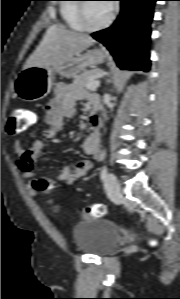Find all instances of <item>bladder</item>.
<instances>
[{"label":"bladder","instance_id":"31cf9c89","mask_svg":"<svg viewBox=\"0 0 180 299\" xmlns=\"http://www.w3.org/2000/svg\"><path fill=\"white\" fill-rule=\"evenodd\" d=\"M71 235L79 251L96 256L111 253L120 243L118 228L104 218L77 222Z\"/></svg>","mask_w":180,"mask_h":299}]
</instances>
